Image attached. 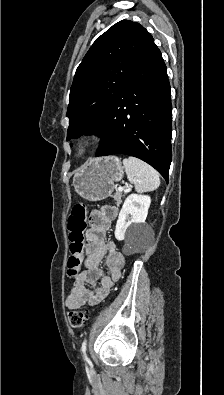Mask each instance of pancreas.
<instances>
[{
  "mask_svg": "<svg viewBox=\"0 0 224 395\" xmlns=\"http://www.w3.org/2000/svg\"><path fill=\"white\" fill-rule=\"evenodd\" d=\"M122 197H123V195H122V193H120V192H116L114 195H113V198H114V200L116 201V204L117 205H120L121 204V199H122Z\"/></svg>",
  "mask_w": 224,
  "mask_h": 395,
  "instance_id": "cf45deb5",
  "label": "pancreas"
}]
</instances>
